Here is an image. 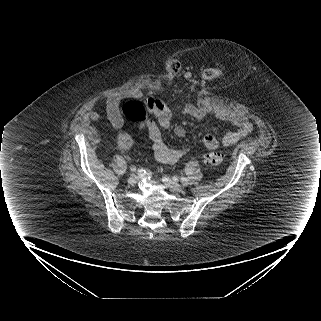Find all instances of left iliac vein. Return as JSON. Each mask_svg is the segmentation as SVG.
Segmentation results:
<instances>
[{
	"label": "left iliac vein",
	"instance_id": "4c4485c4",
	"mask_svg": "<svg viewBox=\"0 0 321 321\" xmlns=\"http://www.w3.org/2000/svg\"><path fill=\"white\" fill-rule=\"evenodd\" d=\"M162 180L164 184L174 193H181L183 191V187L177 183L176 181L172 180L168 176H163Z\"/></svg>",
	"mask_w": 321,
	"mask_h": 321
}]
</instances>
